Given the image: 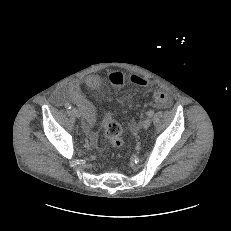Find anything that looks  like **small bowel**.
I'll list each match as a JSON object with an SVG mask.
<instances>
[{
	"instance_id": "obj_1",
	"label": "small bowel",
	"mask_w": 231,
	"mask_h": 231,
	"mask_svg": "<svg viewBox=\"0 0 231 231\" xmlns=\"http://www.w3.org/2000/svg\"><path fill=\"white\" fill-rule=\"evenodd\" d=\"M86 85L90 89H97L100 86V80L97 76L93 75L87 78ZM120 97L126 99L128 95L118 89ZM60 95L67 100L75 103L84 115V129L88 134L91 143L96 144L98 135L94 130L96 122V110L94 105L87 100L81 92V83L78 80L70 82L67 86L60 89Z\"/></svg>"
}]
</instances>
